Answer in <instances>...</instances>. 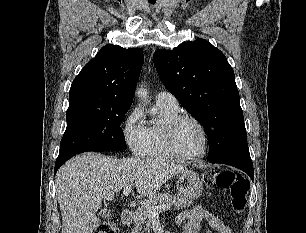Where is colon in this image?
Here are the masks:
<instances>
[{
	"mask_svg": "<svg viewBox=\"0 0 306 233\" xmlns=\"http://www.w3.org/2000/svg\"><path fill=\"white\" fill-rule=\"evenodd\" d=\"M204 182L209 187L230 190L231 207L234 212L243 213L247 206V195L250 181L243 175L232 170H208L203 174ZM95 233H118L117 221L114 217L105 219Z\"/></svg>",
	"mask_w": 306,
	"mask_h": 233,
	"instance_id": "colon-1",
	"label": "colon"
}]
</instances>
